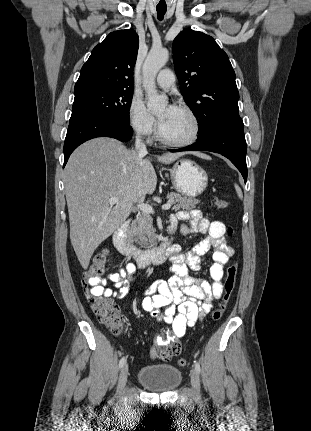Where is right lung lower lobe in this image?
<instances>
[{"mask_svg": "<svg viewBox=\"0 0 311 431\" xmlns=\"http://www.w3.org/2000/svg\"><path fill=\"white\" fill-rule=\"evenodd\" d=\"M133 130L129 121H119L109 117L87 116L69 123L64 142V166L71 153L82 143L96 137H112L122 142L132 138Z\"/></svg>", "mask_w": 311, "mask_h": 431, "instance_id": "right-lung-lower-lobe-1", "label": "right lung lower lobe"}]
</instances>
